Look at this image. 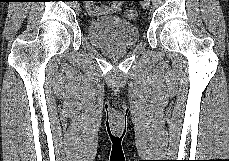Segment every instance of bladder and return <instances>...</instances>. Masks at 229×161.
<instances>
[{
	"instance_id": "1",
	"label": "bladder",
	"mask_w": 229,
	"mask_h": 161,
	"mask_svg": "<svg viewBox=\"0 0 229 161\" xmlns=\"http://www.w3.org/2000/svg\"><path fill=\"white\" fill-rule=\"evenodd\" d=\"M89 40L103 49L132 47L139 39L137 26L118 16H103L87 25Z\"/></svg>"
}]
</instances>
